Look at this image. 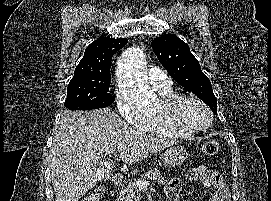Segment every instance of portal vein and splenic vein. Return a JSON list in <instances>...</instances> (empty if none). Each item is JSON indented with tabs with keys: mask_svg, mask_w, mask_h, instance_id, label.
Masks as SVG:
<instances>
[{
	"mask_svg": "<svg viewBox=\"0 0 271 201\" xmlns=\"http://www.w3.org/2000/svg\"><path fill=\"white\" fill-rule=\"evenodd\" d=\"M123 149V147L122 146H118L117 147V150L118 151H121ZM150 184V182H148V181H138L137 183H136V186L140 189V190H145V189H147V186Z\"/></svg>",
	"mask_w": 271,
	"mask_h": 201,
	"instance_id": "obj_1",
	"label": "portal vein and splenic vein"
}]
</instances>
